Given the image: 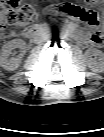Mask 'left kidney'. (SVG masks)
<instances>
[{"instance_id": "obj_1", "label": "left kidney", "mask_w": 104, "mask_h": 137, "mask_svg": "<svg viewBox=\"0 0 104 137\" xmlns=\"http://www.w3.org/2000/svg\"><path fill=\"white\" fill-rule=\"evenodd\" d=\"M98 56V61L94 60L91 56ZM88 67L94 72H102L104 68L103 53L97 49H89L86 52Z\"/></svg>"}]
</instances>
